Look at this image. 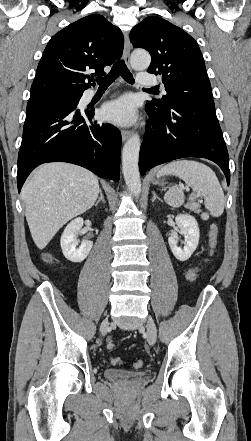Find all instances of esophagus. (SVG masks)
<instances>
[{
    "instance_id": "esophagus-1",
    "label": "esophagus",
    "mask_w": 251,
    "mask_h": 441,
    "mask_svg": "<svg viewBox=\"0 0 251 441\" xmlns=\"http://www.w3.org/2000/svg\"><path fill=\"white\" fill-rule=\"evenodd\" d=\"M130 51H131V44H130L128 35H126L125 44H124V60L127 64H129V61H130ZM130 136H131V131L125 130V129H123L121 131V137L124 142Z\"/></svg>"
}]
</instances>
